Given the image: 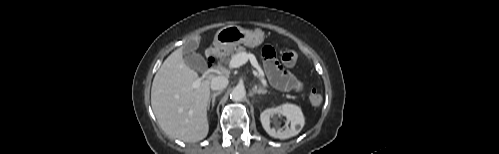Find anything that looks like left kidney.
<instances>
[{
    "mask_svg": "<svg viewBox=\"0 0 499 154\" xmlns=\"http://www.w3.org/2000/svg\"><path fill=\"white\" fill-rule=\"evenodd\" d=\"M275 114H280L286 117L287 121L290 123V127L285 126L284 129L280 130L271 128L270 118ZM260 119L265 131L270 136L279 139H287L297 135L301 131L305 123V119L300 107L289 103L264 110L260 115Z\"/></svg>",
    "mask_w": 499,
    "mask_h": 154,
    "instance_id": "obj_1",
    "label": "left kidney"
}]
</instances>
